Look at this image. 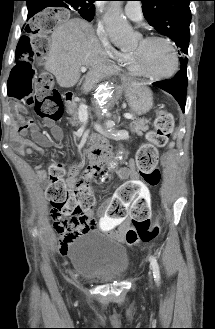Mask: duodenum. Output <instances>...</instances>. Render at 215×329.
I'll return each instance as SVG.
<instances>
[{
  "mask_svg": "<svg viewBox=\"0 0 215 329\" xmlns=\"http://www.w3.org/2000/svg\"><path fill=\"white\" fill-rule=\"evenodd\" d=\"M73 99L74 94L72 92L63 94V100L67 105H70ZM87 156L94 168H99L112 161L109 144L101 139H96L95 145L87 151Z\"/></svg>",
  "mask_w": 215,
  "mask_h": 329,
  "instance_id": "1",
  "label": "duodenum"
}]
</instances>
